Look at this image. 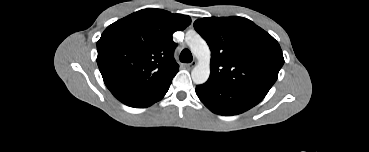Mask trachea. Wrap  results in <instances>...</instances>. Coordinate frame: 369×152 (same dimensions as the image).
I'll return each mask as SVG.
<instances>
[{
  "mask_svg": "<svg viewBox=\"0 0 369 152\" xmlns=\"http://www.w3.org/2000/svg\"><path fill=\"white\" fill-rule=\"evenodd\" d=\"M192 60H193V57H192L190 50L188 49L182 50L180 54V61L183 63H190L192 62Z\"/></svg>",
  "mask_w": 369,
  "mask_h": 152,
  "instance_id": "obj_1",
  "label": "trachea"
}]
</instances>
